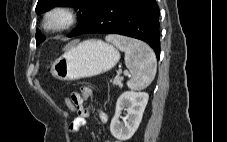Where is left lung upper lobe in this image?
<instances>
[{
    "label": "left lung upper lobe",
    "mask_w": 227,
    "mask_h": 142,
    "mask_svg": "<svg viewBox=\"0 0 227 142\" xmlns=\"http://www.w3.org/2000/svg\"><path fill=\"white\" fill-rule=\"evenodd\" d=\"M107 0H38L36 6V12L42 13L56 6H75L79 9L78 21L79 24L75 30L69 35L72 36L77 30L87 24L96 11L106 2ZM45 37L36 32V43L40 44Z\"/></svg>",
    "instance_id": "5c2ea615"
}]
</instances>
